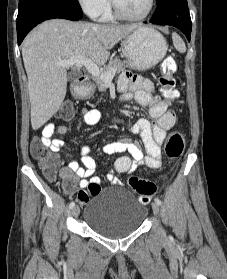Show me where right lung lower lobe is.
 <instances>
[{
	"instance_id": "98d812e1",
	"label": "right lung lower lobe",
	"mask_w": 227,
	"mask_h": 279,
	"mask_svg": "<svg viewBox=\"0 0 227 279\" xmlns=\"http://www.w3.org/2000/svg\"><path fill=\"white\" fill-rule=\"evenodd\" d=\"M78 0H19L16 19L18 44L37 24L54 18L76 21L82 18Z\"/></svg>"
}]
</instances>
